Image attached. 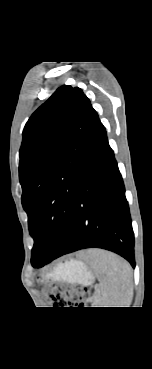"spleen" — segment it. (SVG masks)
<instances>
[{
	"instance_id": "3e777b00",
	"label": "spleen",
	"mask_w": 152,
	"mask_h": 369,
	"mask_svg": "<svg viewBox=\"0 0 152 369\" xmlns=\"http://www.w3.org/2000/svg\"><path fill=\"white\" fill-rule=\"evenodd\" d=\"M89 258L101 282L95 302L100 307H129L133 294L130 265L117 255L103 250H91Z\"/></svg>"
}]
</instances>
